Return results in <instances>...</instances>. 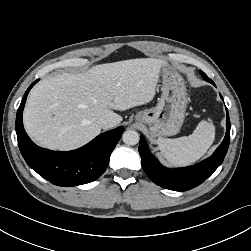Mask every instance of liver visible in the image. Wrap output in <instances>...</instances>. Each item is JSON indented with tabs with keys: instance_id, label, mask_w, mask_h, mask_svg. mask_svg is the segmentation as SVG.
I'll return each instance as SVG.
<instances>
[{
	"instance_id": "liver-1",
	"label": "liver",
	"mask_w": 251,
	"mask_h": 251,
	"mask_svg": "<svg viewBox=\"0 0 251 251\" xmlns=\"http://www.w3.org/2000/svg\"><path fill=\"white\" fill-rule=\"evenodd\" d=\"M164 65L160 59L138 58L43 79L28 96L25 130L42 147L62 151L78 148L100 134L99 118L116 126L122 117L113 110L150 102Z\"/></svg>"
}]
</instances>
